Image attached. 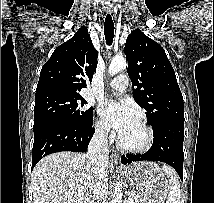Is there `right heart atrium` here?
<instances>
[{
  "label": "right heart atrium",
  "mask_w": 214,
  "mask_h": 203,
  "mask_svg": "<svg viewBox=\"0 0 214 203\" xmlns=\"http://www.w3.org/2000/svg\"><path fill=\"white\" fill-rule=\"evenodd\" d=\"M94 130H95V134L101 138H106L110 132L108 124L102 119H97L95 121Z\"/></svg>",
  "instance_id": "right-heart-atrium-1"
}]
</instances>
